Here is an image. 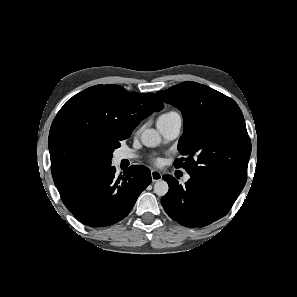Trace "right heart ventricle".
I'll return each instance as SVG.
<instances>
[{"label":"right heart ventricle","mask_w":297,"mask_h":297,"mask_svg":"<svg viewBox=\"0 0 297 297\" xmlns=\"http://www.w3.org/2000/svg\"><path fill=\"white\" fill-rule=\"evenodd\" d=\"M176 116H179V114L176 111H170V112H167V113L163 114L160 117V119H162V118L176 117Z\"/></svg>","instance_id":"e07e8e85"}]
</instances>
